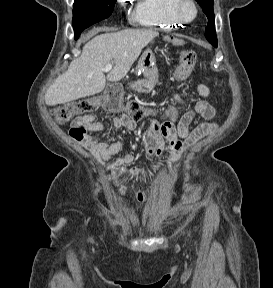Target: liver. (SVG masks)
Returning <instances> with one entry per match:
<instances>
[{
  "label": "liver",
  "instance_id": "liver-1",
  "mask_svg": "<svg viewBox=\"0 0 273 288\" xmlns=\"http://www.w3.org/2000/svg\"><path fill=\"white\" fill-rule=\"evenodd\" d=\"M158 35L152 29H125L95 36L84 45L80 57L47 89L46 104L55 106L95 95L103 91L106 80L120 81L142 49ZM111 62L115 65L105 76L103 68Z\"/></svg>",
  "mask_w": 273,
  "mask_h": 288
}]
</instances>
